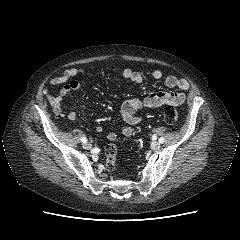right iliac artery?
I'll use <instances>...</instances> for the list:
<instances>
[{
    "mask_svg": "<svg viewBox=\"0 0 240 240\" xmlns=\"http://www.w3.org/2000/svg\"><path fill=\"white\" fill-rule=\"evenodd\" d=\"M81 141H82L83 143H85V142H87V139H86L85 137H82V138H81Z\"/></svg>",
    "mask_w": 240,
    "mask_h": 240,
    "instance_id": "right-iliac-artery-1",
    "label": "right iliac artery"
}]
</instances>
